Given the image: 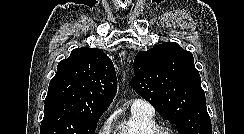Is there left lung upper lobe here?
I'll list each match as a JSON object with an SVG mask.
<instances>
[{
    "mask_svg": "<svg viewBox=\"0 0 244 134\" xmlns=\"http://www.w3.org/2000/svg\"><path fill=\"white\" fill-rule=\"evenodd\" d=\"M132 87L179 134H212L201 78L192 53L165 42L134 59Z\"/></svg>",
    "mask_w": 244,
    "mask_h": 134,
    "instance_id": "obj_1",
    "label": "left lung upper lobe"
}]
</instances>
